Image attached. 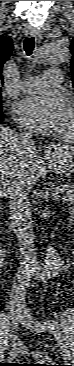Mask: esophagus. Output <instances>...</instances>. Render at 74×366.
I'll return each instance as SVG.
<instances>
[{"label":"esophagus","instance_id":"obj_1","mask_svg":"<svg viewBox=\"0 0 74 366\" xmlns=\"http://www.w3.org/2000/svg\"><path fill=\"white\" fill-rule=\"evenodd\" d=\"M29 35L34 37L37 41L41 40V34L38 30H29Z\"/></svg>","mask_w":74,"mask_h":366}]
</instances>
